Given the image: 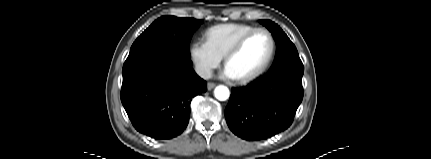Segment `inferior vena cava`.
<instances>
[{
    "mask_svg": "<svg viewBox=\"0 0 431 159\" xmlns=\"http://www.w3.org/2000/svg\"><path fill=\"white\" fill-rule=\"evenodd\" d=\"M196 73L203 79H210L212 77V70L206 66H196Z\"/></svg>",
    "mask_w": 431,
    "mask_h": 159,
    "instance_id": "obj_1",
    "label": "inferior vena cava"
}]
</instances>
